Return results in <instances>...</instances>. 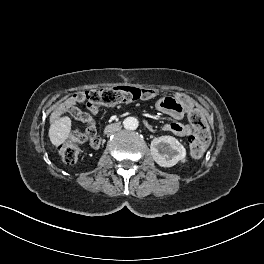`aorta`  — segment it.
<instances>
[{"label": "aorta", "instance_id": "obj_1", "mask_svg": "<svg viewBox=\"0 0 264 264\" xmlns=\"http://www.w3.org/2000/svg\"><path fill=\"white\" fill-rule=\"evenodd\" d=\"M138 120L135 117H127L123 121V126L127 130H136L138 128Z\"/></svg>", "mask_w": 264, "mask_h": 264}]
</instances>
